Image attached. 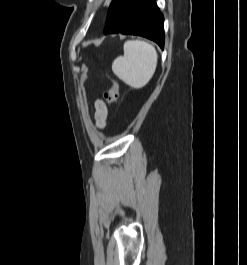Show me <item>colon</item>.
I'll return each instance as SVG.
<instances>
[{
	"mask_svg": "<svg viewBox=\"0 0 247 265\" xmlns=\"http://www.w3.org/2000/svg\"><path fill=\"white\" fill-rule=\"evenodd\" d=\"M111 86L110 88L105 91L104 99L107 103L112 104L118 100L119 97V84L114 79H111Z\"/></svg>",
	"mask_w": 247,
	"mask_h": 265,
	"instance_id": "colon-1",
	"label": "colon"
}]
</instances>
